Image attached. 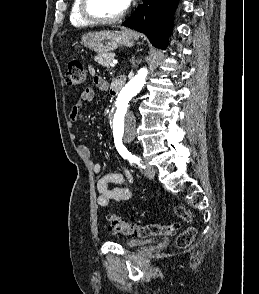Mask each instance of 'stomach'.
<instances>
[{
  "instance_id": "1",
  "label": "stomach",
  "mask_w": 259,
  "mask_h": 294,
  "mask_svg": "<svg viewBox=\"0 0 259 294\" xmlns=\"http://www.w3.org/2000/svg\"><path fill=\"white\" fill-rule=\"evenodd\" d=\"M136 41L128 31L89 32L82 36L81 44L99 54L110 53L120 46L132 47Z\"/></svg>"
}]
</instances>
